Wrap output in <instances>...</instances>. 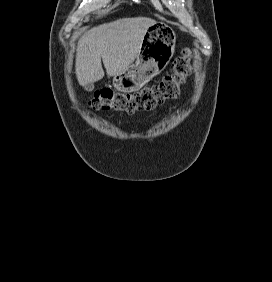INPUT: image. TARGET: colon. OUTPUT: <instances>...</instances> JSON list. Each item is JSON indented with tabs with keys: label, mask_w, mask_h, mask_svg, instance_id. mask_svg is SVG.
Listing matches in <instances>:
<instances>
[{
	"label": "colon",
	"mask_w": 272,
	"mask_h": 282,
	"mask_svg": "<svg viewBox=\"0 0 272 282\" xmlns=\"http://www.w3.org/2000/svg\"><path fill=\"white\" fill-rule=\"evenodd\" d=\"M192 54L188 49L182 51L172 64V72L163 76L161 80L135 93L114 92L110 88L98 90L89 102L96 110H116L134 113L152 110L167 100L175 99L179 88L190 75Z\"/></svg>",
	"instance_id": "1"
}]
</instances>
